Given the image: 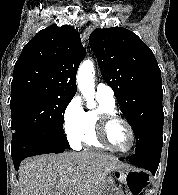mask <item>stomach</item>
I'll return each mask as SVG.
<instances>
[{
	"label": "stomach",
	"instance_id": "stomach-1",
	"mask_svg": "<svg viewBox=\"0 0 178 195\" xmlns=\"http://www.w3.org/2000/svg\"><path fill=\"white\" fill-rule=\"evenodd\" d=\"M128 170L118 169L111 171L106 177L99 195H127L124 189L128 184Z\"/></svg>",
	"mask_w": 178,
	"mask_h": 195
}]
</instances>
